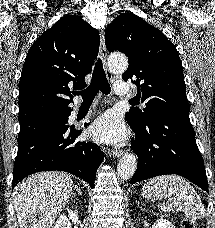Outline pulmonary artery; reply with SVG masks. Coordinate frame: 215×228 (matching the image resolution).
I'll use <instances>...</instances> for the list:
<instances>
[{
  "instance_id": "obj_1",
  "label": "pulmonary artery",
  "mask_w": 215,
  "mask_h": 228,
  "mask_svg": "<svg viewBox=\"0 0 215 228\" xmlns=\"http://www.w3.org/2000/svg\"><path fill=\"white\" fill-rule=\"evenodd\" d=\"M112 89H118L116 93L120 96H133L136 93L134 84H126V82H113Z\"/></svg>"
}]
</instances>
